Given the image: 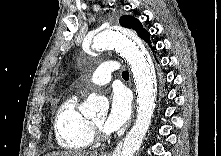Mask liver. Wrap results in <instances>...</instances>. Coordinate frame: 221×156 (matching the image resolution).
I'll return each mask as SVG.
<instances>
[{"mask_svg":"<svg viewBox=\"0 0 221 156\" xmlns=\"http://www.w3.org/2000/svg\"><path fill=\"white\" fill-rule=\"evenodd\" d=\"M96 151H57L48 153L46 156H97Z\"/></svg>","mask_w":221,"mask_h":156,"instance_id":"1","label":"liver"}]
</instances>
